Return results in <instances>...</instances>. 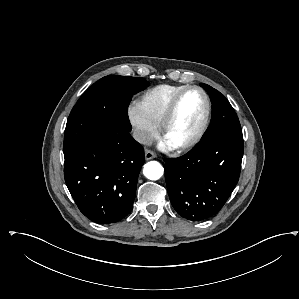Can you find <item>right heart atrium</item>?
Wrapping results in <instances>:
<instances>
[{
  "mask_svg": "<svg viewBox=\"0 0 299 299\" xmlns=\"http://www.w3.org/2000/svg\"><path fill=\"white\" fill-rule=\"evenodd\" d=\"M128 116L134 129L135 139L140 144L150 143L158 132V126L141 111L138 104L129 107Z\"/></svg>",
  "mask_w": 299,
  "mask_h": 299,
  "instance_id": "right-heart-atrium-1",
  "label": "right heart atrium"
}]
</instances>
